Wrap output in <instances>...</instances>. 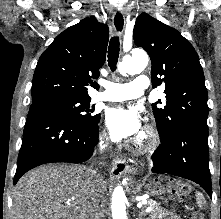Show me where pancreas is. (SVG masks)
I'll use <instances>...</instances> for the list:
<instances>
[{"label": "pancreas", "mask_w": 221, "mask_h": 219, "mask_svg": "<svg viewBox=\"0 0 221 219\" xmlns=\"http://www.w3.org/2000/svg\"><path fill=\"white\" fill-rule=\"evenodd\" d=\"M147 204L152 207L149 214L151 219H180L179 216L174 214L175 211L166 210L153 200L148 201Z\"/></svg>", "instance_id": "obj_1"}]
</instances>
